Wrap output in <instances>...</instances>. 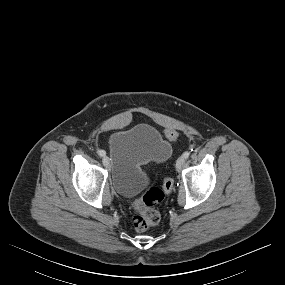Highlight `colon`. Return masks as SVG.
Wrapping results in <instances>:
<instances>
[{"label": "colon", "instance_id": "obj_1", "mask_svg": "<svg viewBox=\"0 0 285 285\" xmlns=\"http://www.w3.org/2000/svg\"><path fill=\"white\" fill-rule=\"evenodd\" d=\"M165 136L169 142H174L178 138V133L175 130L168 129L165 132ZM172 188L173 180L171 178H166L163 181L162 188L151 187L136 200L132 223L137 231H145L159 223L160 213L155 209V205L160 203L163 200L165 193L170 192Z\"/></svg>", "mask_w": 285, "mask_h": 285}]
</instances>
